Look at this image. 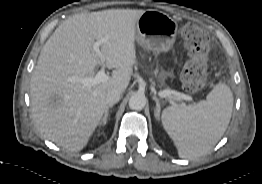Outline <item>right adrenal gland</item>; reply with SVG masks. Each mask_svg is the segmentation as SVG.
<instances>
[{
    "label": "right adrenal gland",
    "instance_id": "1",
    "mask_svg": "<svg viewBox=\"0 0 262 184\" xmlns=\"http://www.w3.org/2000/svg\"><path fill=\"white\" fill-rule=\"evenodd\" d=\"M112 107H113V105H108V106L106 107L104 116H103V118H102V120H101V122H100V125H101V126H104V125L106 124L107 119H108V115H109V109L112 108Z\"/></svg>",
    "mask_w": 262,
    "mask_h": 184
}]
</instances>
